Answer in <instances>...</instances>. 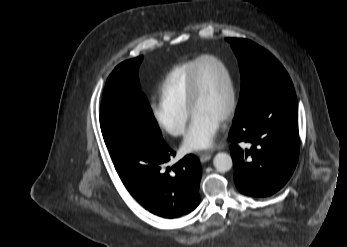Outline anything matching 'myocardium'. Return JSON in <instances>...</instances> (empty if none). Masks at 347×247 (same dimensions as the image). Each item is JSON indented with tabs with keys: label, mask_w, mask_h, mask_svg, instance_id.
Instances as JSON below:
<instances>
[{
	"label": "myocardium",
	"mask_w": 347,
	"mask_h": 247,
	"mask_svg": "<svg viewBox=\"0 0 347 247\" xmlns=\"http://www.w3.org/2000/svg\"><path fill=\"white\" fill-rule=\"evenodd\" d=\"M208 60L213 61L214 63L219 65L227 78L228 89H229L228 106H227L225 114L223 115L221 119L222 122H227L232 119L236 111V106H237L236 87H235L233 76L228 66L220 58L214 55H203L199 57L196 64L193 66L190 72V79L188 84L187 107L190 114L193 115V110L199 96L198 68L203 61H208Z\"/></svg>",
	"instance_id": "obj_1"
}]
</instances>
